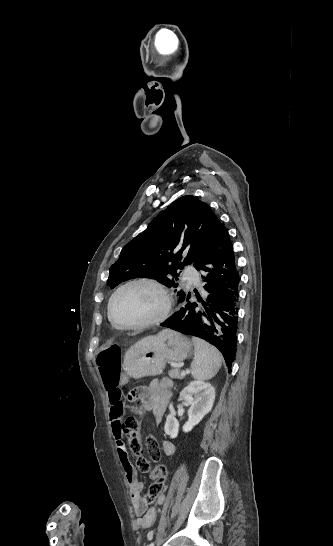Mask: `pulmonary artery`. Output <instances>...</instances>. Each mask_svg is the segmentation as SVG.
I'll return each mask as SVG.
<instances>
[{
  "instance_id": "pulmonary-artery-1",
  "label": "pulmonary artery",
  "mask_w": 333,
  "mask_h": 546,
  "mask_svg": "<svg viewBox=\"0 0 333 546\" xmlns=\"http://www.w3.org/2000/svg\"><path fill=\"white\" fill-rule=\"evenodd\" d=\"M184 277L186 279L194 282L195 284H199V282H200V278H199L197 272H195L194 270H191V269L186 270V272L184 274Z\"/></svg>"
}]
</instances>
